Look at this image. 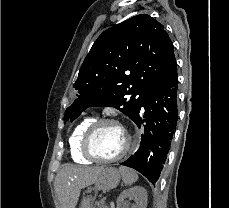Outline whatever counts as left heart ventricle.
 Here are the masks:
<instances>
[{"instance_id": "left-heart-ventricle-1", "label": "left heart ventricle", "mask_w": 229, "mask_h": 208, "mask_svg": "<svg viewBox=\"0 0 229 208\" xmlns=\"http://www.w3.org/2000/svg\"><path fill=\"white\" fill-rule=\"evenodd\" d=\"M128 143V136L123 129L113 124L102 126L91 139V152L96 157H117Z\"/></svg>"}]
</instances>
